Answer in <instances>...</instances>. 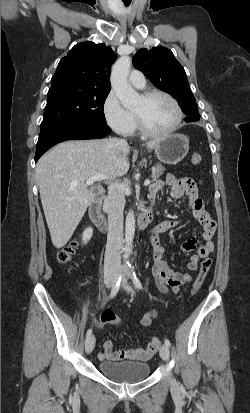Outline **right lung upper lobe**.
<instances>
[{
    "mask_svg": "<svg viewBox=\"0 0 250 413\" xmlns=\"http://www.w3.org/2000/svg\"><path fill=\"white\" fill-rule=\"evenodd\" d=\"M116 58L117 55L104 43H79L60 60L50 89L77 85L86 89L110 91V67Z\"/></svg>",
    "mask_w": 250,
    "mask_h": 413,
    "instance_id": "cb5924a9",
    "label": "right lung upper lobe"
}]
</instances>
